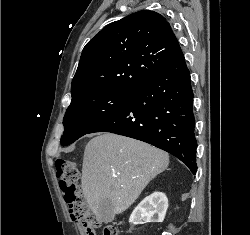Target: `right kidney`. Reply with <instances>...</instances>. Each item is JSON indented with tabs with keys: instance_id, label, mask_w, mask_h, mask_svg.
<instances>
[{
	"instance_id": "obj_1",
	"label": "right kidney",
	"mask_w": 250,
	"mask_h": 235,
	"mask_svg": "<svg viewBox=\"0 0 250 235\" xmlns=\"http://www.w3.org/2000/svg\"><path fill=\"white\" fill-rule=\"evenodd\" d=\"M167 208V196L162 192H154L138 204L133 210L129 222L134 225L163 222Z\"/></svg>"
}]
</instances>
